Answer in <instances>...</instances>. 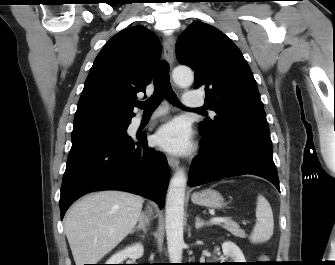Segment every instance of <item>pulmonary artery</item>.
Returning a JSON list of instances; mask_svg holds the SVG:
<instances>
[{
  "instance_id": "pulmonary-artery-1",
  "label": "pulmonary artery",
  "mask_w": 335,
  "mask_h": 265,
  "mask_svg": "<svg viewBox=\"0 0 335 265\" xmlns=\"http://www.w3.org/2000/svg\"><path fill=\"white\" fill-rule=\"evenodd\" d=\"M183 104L187 108L196 109L200 108L204 104V100L202 95L197 91H189L185 93L183 98ZM160 113H155L153 118L157 117ZM142 121L141 117L136 119V123H140Z\"/></svg>"
}]
</instances>
